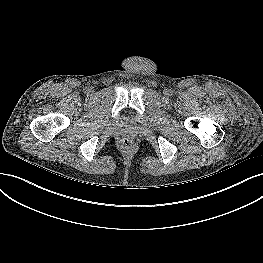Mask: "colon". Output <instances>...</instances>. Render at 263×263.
<instances>
[{
	"mask_svg": "<svg viewBox=\"0 0 263 263\" xmlns=\"http://www.w3.org/2000/svg\"><path fill=\"white\" fill-rule=\"evenodd\" d=\"M123 144H124V145H128V141H127V140H124V141H123Z\"/></svg>",
	"mask_w": 263,
	"mask_h": 263,
	"instance_id": "1",
	"label": "colon"
}]
</instances>
